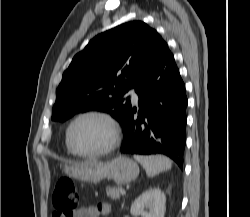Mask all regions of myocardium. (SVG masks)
Here are the masks:
<instances>
[{
	"instance_id": "myocardium-1",
	"label": "myocardium",
	"mask_w": 250,
	"mask_h": 217,
	"mask_svg": "<svg viewBox=\"0 0 250 217\" xmlns=\"http://www.w3.org/2000/svg\"><path fill=\"white\" fill-rule=\"evenodd\" d=\"M85 117H97L102 119L109 127L110 138L106 146L94 152L79 151L72 142V130L74 125ZM121 139V130L116 119L108 112L101 109H88L77 114L69 123L66 130V142L73 154L83 158H98L114 151Z\"/></svg>"
}]
</instances>
